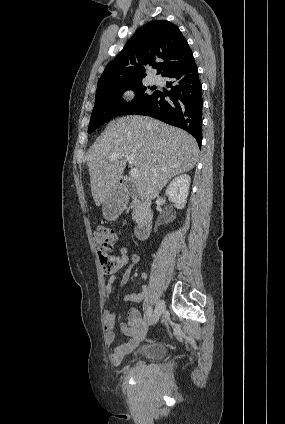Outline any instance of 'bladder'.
<instances>
[{
  "mask_svg": "<svg viewBox=\"0 0 285 424\" xmlns=\"http://www.w3.org/2000/svg\"><path fill=\"white\" fill-rule=\"evenodd\" d=\"M166 350L163 344L161 343H150L141 346L138 349V353H140L146 359H159L165 354Z\"/></svg>",
  "mask_w": 285,
  "mask_h": 424,
  "instance_id": "1",
  "label": "bladder"
}]
</instances>
